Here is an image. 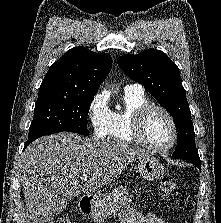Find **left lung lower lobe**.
<instances>
[{"instance_id": "0a47b994", "label": "left lung lower lobe", "mask_w": 221, "mask_h": 223, "mask_svg": "<svg viewBox=\"0 0 221 223\" xmlns=\"http://www.w3.org/2000/svg\"><path fill=\"white\" fill-rule=\"evenodd\" d=\"M191 161L199 170H201V162L200 161H194V160H189Z\"/></svg>"}]
</instances>
